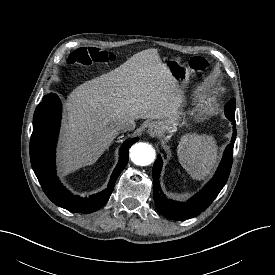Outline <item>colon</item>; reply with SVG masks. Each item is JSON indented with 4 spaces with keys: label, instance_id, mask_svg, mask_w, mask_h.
I'll return each mask as SVG.
<instances>
[{
    "label": "colon",
    "instance_id": "colon-1",
    "mask_svg": "<svg viewBox=\"0 0 275 275\" xmlns=\"http://www.w3.org/2000/svg\"><path fill=\"white\" fill-rule=\"evenodd\" d=\"M115 59L113 53L99 49V48H79L72 52L68 57V63L72 65H79L89 67L97 64H105ZM190 68L196 74L204 72L209 63L203 57H193L189 61Z\"/></svg>",
    "mask_w": 275,
    "mask_h": 275
}]
</instances>
